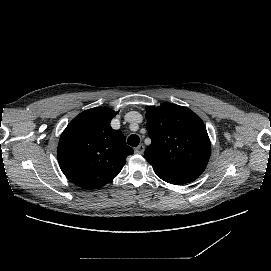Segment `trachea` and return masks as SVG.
Segmentation results:
<instances>
[{
    "instance_id": "3493384b",
    "label": "trachea",
    "mask_w": 271,
    "mask_h": 271,
    "mask_svg": "<svg viewBox=\"0 0 271 271\" xmlns=\"http://www.w3.org/2000/svg\"><path fill=\"white\" fill-rule=\"evenodd\" d=\"M128 144L130 146H133V147H136L139 145V142H140V138L138 135L136 134H133L131 136L128 137V140H127Z\"/></svg>"
}]
</instances>
